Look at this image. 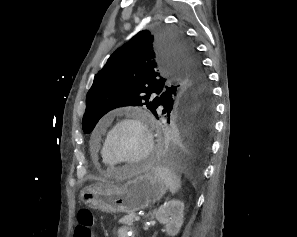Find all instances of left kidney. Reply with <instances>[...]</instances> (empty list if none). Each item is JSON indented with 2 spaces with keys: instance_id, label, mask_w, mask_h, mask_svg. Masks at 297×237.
<instances>
[{
  "instance_id": "obj_1",
  "label": "left kidney",
  "mask_w": 297,
  "mask_h": 237,
  "mask_svg": "<svg viewBox=\"0 0 297 237\" xmlns=\"http://www.w3.org/2000/svg\"><path fill=\"white\" fill-rule=\"evenodd\" d=\"M183 210V202L170 200L160 206L156 212V219L165 226L166 233L171 237L176 236L183 225Z\"/></svg>"
}]
</instances>
